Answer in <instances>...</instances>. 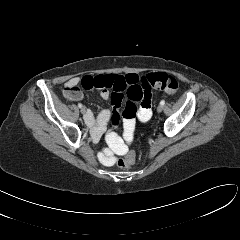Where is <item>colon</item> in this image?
Instances as JSON below:
<instances>
[{
    "label": "colon",
    "instance_id": "obj_1",
    "mask_svg": "<svg viewBox=\"0 0 240 240\" xmlns=\"http://www.w3.org/2000/svg\"><path fill=\"white\" fill-rule=\"evenodd\" d=\"M143 84H147L150 88L167 93H176L179 89L178 80L164 72L149 73L141 78ZM66 95L68 97L76 96L80 94V89L77 85L66 86ZM128 101L126 102L123 118L126 121H132L136 117V102L140 100V92L137 87L132 86L127 91ZM136 154L133 150H130L124 157L119 158L116 161L117 166L121 168H129L135 163Z\"/></svg>",
    "mask_w": 240,
    "mask_h": 240
}]
</instances>
